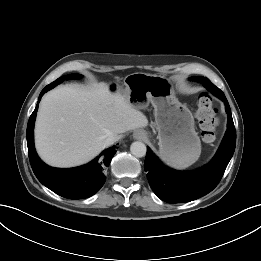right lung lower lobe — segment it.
I'll return each instance as SVG.
<instances>
[{"mask_svg": "<svg viewBox=\"0 0 261 261\" xmlns=\"http://www.w3.org/2000/svg\"><path fill=\"white\" fill-rule=\"evenodd\" d=\"M59 83L61 82L47 85L40 93L39 99ZM37 110L38 104L29 118L26 134L28 155L37 179L54 193L68 199L77 200L94 195L105 183L104 172L116 153L115 146L106 149L86 165L69 169L52 168L40 160L34 148L33 128Z\"/></svg>", "mask_w": 261, "mask_h": 261, "instance_id": "1", "label": "right lung lower lobe"}]
</instances>
